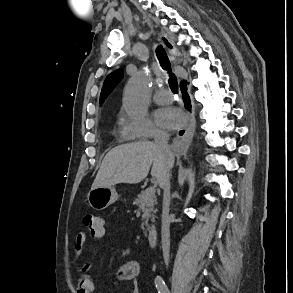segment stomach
Listing matches in <instances>:
<instances>
[{
    "label": "stomach",
    "instance_id": "stomach-1",
    "mask_svg": "<svg viewBox=\"0 0 293 293\" xmlns=\"http://www.w3.org/2000/svg\"><path fill=\"white\" fill-rule=\"evenodd\" d=\"M118 194L113 187H98L88 193L89 205L95 210H103L118 200Z\"/></svg>",
    "mask_w": 293,
    "mask_h": 293
}]
</instances>
